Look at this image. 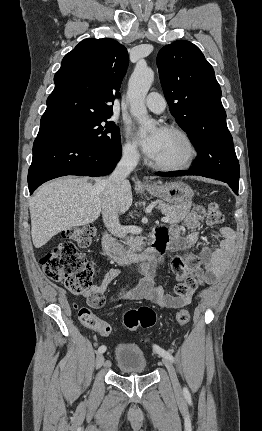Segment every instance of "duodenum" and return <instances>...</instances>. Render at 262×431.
I'll use <instances>...</instances> for the list:
<instances>
[{
  "label": "duodenum",
  "mask_w": 262,
  "mask_h": 431,
  "mask_svg": "<svg viewBox=\"0 0 262 431\" xmlns=\"http://www.w3.org/2000/svg\"><path fill=\"white\" fill-rule=\"evenodd\" d=\"M160 243V238L156 237L154 245L151 248L147 249L143 253L134 254L122 249L118 242L112 238L109 233L104 232L102 237V248L104 254L112 258L120 265L132 264L136 262H141L142 264L146 263L155 256L160 247Z\"/></svg>",
  "instance_id": "410a0bca"
}]
</instances>
